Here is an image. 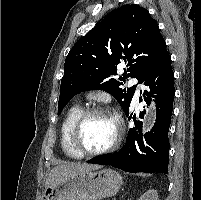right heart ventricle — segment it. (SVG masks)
<instances>
[{
    "mask_svg": "<svg viewBox=\"0 0 201 200\" xmlns=\"http://www.w3.org/2000/svg\"><path fill=\"white\" fill-rule=\"evenodd\" d=\"M82 110L83 109L80 105L72 106L66 113L65 118L61 125L60 146H61V149H62L63 153L65 154V156H67L68 158H71V159H80L81 158V156H79L75 152V150L72 148V146L70 144L69 135H70V130L72 128V125L74 124L75 120L80 115Z\"/></svg>",
    "mask_w": 201,
    "mask_h": 200,
    "instance_id": "right-heart-ventricle-1",
    "label": "right heart ventricle"
}]
</instances>
